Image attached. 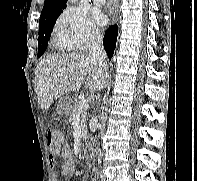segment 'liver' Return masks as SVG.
I'll list each match as a JSON object with an SVG mask.
<instances>
[{"instance_id":"obj_1","label":"liver","mask_w":197,"mask_h":181,"mask_svg":"<svg viewBox=\"0 0 197 181\" xmlns=\"http://www.w3.org/2000/svg\"><path fill=\"white\" fill-rule=\"evenodd\" d=\"M107 76V70H100L84 53L48 55L35 69L38 104L47 111L54 100L79 90L83 84L92 92L103 89Z\"/></svg>"}]
</instances>
